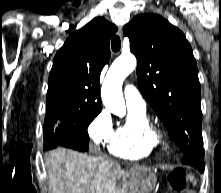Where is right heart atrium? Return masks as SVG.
I'll use <instances>...</instances> for the list:
<instances>
[{
    "label": "right heart atrium",
    "instance_id": "right-heart-atrium-1",
    "mask_svg": "<svg viewBox=\"0 0 221 193\" xmlns=\"http://www.w3.org/2000/svg\"><path fill=\"white\" fill-rule=\"evenodd\" d=\"M88 133L95 145H106L114 134V123L111 114L102 109L91 121Z\"/></svg>",
    "mask_w": 221,
    "mask_h": 193
}]
</instances>
